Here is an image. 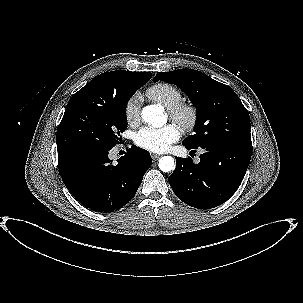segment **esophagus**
Wrapping results in <instances>:
<instances>
[{"label": "esophagus", "instance_id": "1", "mask_svg": "<svg viewBox=\"0 0 303 303\" xmlns=\"http://www.w3.org/2000/svg\"><path fill=\"white\" fill-rule=\"evenodd\" d=\"M159 158H160V155H158V154H152V159L154 161L158 160Z\"/></svg>", "mask_w": 303, "mask_h": 303}]
</instances>
